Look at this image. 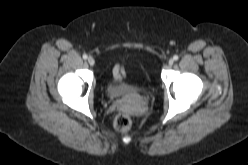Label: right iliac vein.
Returning <instances> with one entry per match:
<instances>
[{
	"instance_id": "obj_1",
	"label": "right iliac vein",
	"mask_w": 248,
	"mask_h": 165,
	"mask_svg": "<svg viewBox=\"0 0 248 165\" xmlns=\"http://www.w3.org/2000/svg\"><path fill=\"white\" fill-rule=\"evenodd\" d=\"M87 61H88V63H89L91 66L95 64V60H94V58L91 57V56L88 57Z\"/></svg>"
}]
</instances>
